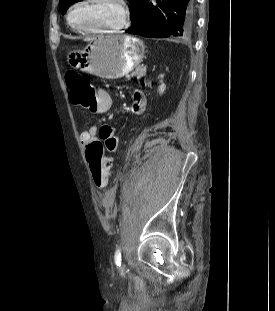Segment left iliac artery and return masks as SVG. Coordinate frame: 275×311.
<instances>
[{"label":"left iliac artery","mask_w":275,"mask_h":311,"mask_svg":"<svg viewBox=\"0 0 275 311\" xmlns=\"http://www.w3.org/2000/svg\"><path fill=\"white\" fill-rule=\"evenodd\" d=\"M115 260H116V263L118 262L120 263L121 261V249L120 248H118L115 252Z\"/></svg>","instance_id":"1"}]
</instances>
